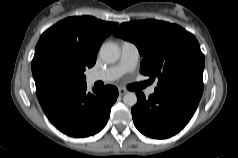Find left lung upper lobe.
Here are the masks:
<instances>
[{
	"instance_id": "1",
	"label": "left lung upper lobe",
	"mask_w": 238,
	"mask_h": 158,
	"mask_svg": "<svg viewBox=\"0 0 238 158\" xmlns=\"http://www.w3.org/2000/svg\"><path fill=\"white\" fill-rule=\"evenodd\" d=\"M114 35L133 42L143 56L140 72L158 81L156 89L203 81L205 58L194 35L157 20L122 23Z\"/></svg>"
}]
</instances>
